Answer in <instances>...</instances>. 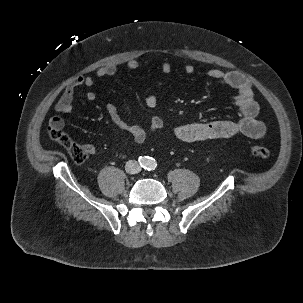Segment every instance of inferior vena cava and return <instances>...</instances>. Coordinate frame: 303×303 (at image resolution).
Listing matches in <instances>:
<instances>
[{"mask_svg": "<svg viewBox=\"0 0 303 303\" xmlns=\"http://www.w3.org/2000/svg\"><path fill=\"white\" fill-rule=\"evenodd\" d=\"M140 170L139 164L134 160H129L126 163V171L131 174L138 173Z\"/></svg>", "mask_w": 303, "mask_h": 303, "instance_id": "602c4592", "label": "inferior vena cava"}]
</instances>
